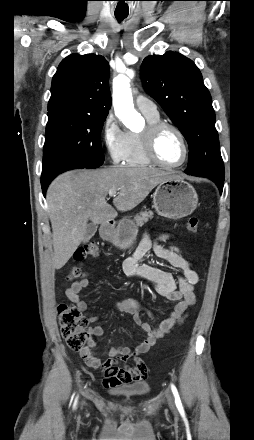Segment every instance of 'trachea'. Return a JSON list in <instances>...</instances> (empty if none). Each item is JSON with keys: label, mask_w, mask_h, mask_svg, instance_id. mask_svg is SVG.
I'll return each mask as SVG.
<instances>
[{"label": "trachea", "mask_w": 254, "mask_h": 440, "mask_svg": "<svg viewBox=\"0 0 254 440\" xmlns=\"http://www.w3.org/2000/svg\"><path fill=\"white\" fill-rule=\"evenodd\" d=\"M126 17H127V16H121V15H120V16H119V15L116 16V18H117L118 21H122V20L125 19Z\"/></svg>", "instance_id": "trachea-1"}]
</instances>
